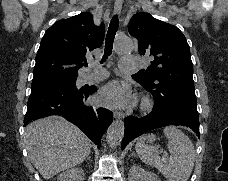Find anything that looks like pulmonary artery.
<instances>
[{
	"mask_svg": "<svg viewBox=\"0 0 228 181\" xmlns=\"http://www.w3.org/2000/svg\"><path fill=\"white\" fill-rule=\"evenodd\" d=\"M142 62V57H120V71H132ZM110 74H91V79H110ZM89 79V78H86Z\"/></svg>",
	"mask_w": 228,
	"mask_h": 181,
	"instance_id": "pulmonary-artery-1",
	"label": "pulmonary artery"
}]
</instances>
